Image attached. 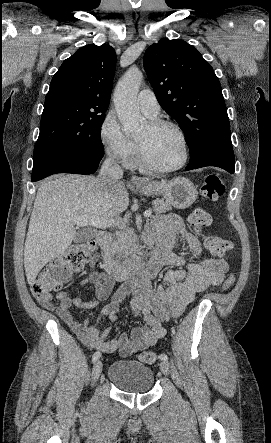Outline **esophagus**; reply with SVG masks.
<instances>
[{
	"label": "esophagus",
	"mask_w": 271,
	"mask_h": 443,
	"mask_svg": "<svg viewBox=\"0 0 271 443\" xmlns=\"http://www.w3.org/2000/svg\"><path fill=\"white\" fill-rule=\"evenodd\" d=\"M130 183H133V184H141V183H145V180L141 179L140 177H137V176L133 175V176L130 178Z\"/></svg>",
	"instance_id": "1"
}]
</instances>
